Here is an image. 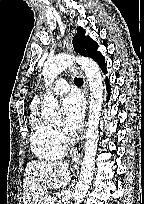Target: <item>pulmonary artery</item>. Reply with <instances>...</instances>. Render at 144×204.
<instances>
[{
	"label": "pulmonary artery",
	"mask_w": 144,
	"mask_h": 204,
	"mask_svg": "<svg viewBox=\"0 0 144 204\" xmlns=\"http://www.w3.org/2000/svg\"><path fill=\"white\" fill-rule=\"evenodd\" d=\"M51 90L55 95L66 94L69 91V84L65 79H58Z\"/></svg>",
	"instance_id": "obj_1"
}]
</instances>
